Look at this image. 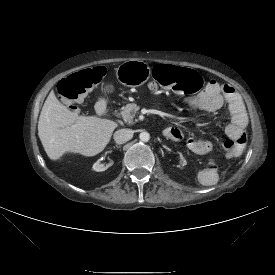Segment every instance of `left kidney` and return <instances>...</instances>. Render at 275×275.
Masks as SVG:
<instances>
[{
  "mask_svg": "<svg viewBox=\"0 0 275 275\" xmlns=\"http://www.w3.org/2000/svg\"><path fill=\"white\" fill-rule=\"evenodd\" d=\"M172 159L175 161L174 165L177 168L184 167L186 165V160L181 153L179 154L178 152H175L172 155Z\"/></svg>",
  "mask_w": 275,
  "mask_h": 275,
  "instance_id": "5707ae66",
  "label": "left kidney"
}]
</instances>
